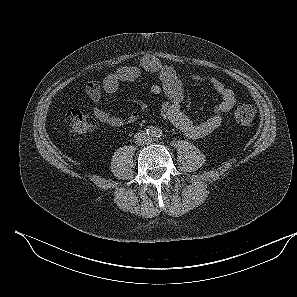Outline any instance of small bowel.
Returning <instances> with one entry per match:
<instances>
[{"mask_svg": "<svg viewBox=\"0 0 297 297\" xmlns=\"http://www.w3.org/2000/svg\"><path fill=\"white\" fill-rule=\"evenodd\" d=\"M143 73L155 74L160 79L161 84L153 85L150 91L155 96L164 93L167 97L166 101L161 102L162 119L172 123L191 139L203 138L220 127L236 103L234 91L221 81L212 77L192 75L193 82L208 85L220 97V101L215 105L210 117L200 122L193 121L182 110L184 87L176 70L171 66L163 65L155 57L144 56L140 65L119 68L106 76L101 85L97 82L88 83L86 92L95 104L93 115L100 123L111 127H122L138 121L139 114L137 112L113 115L104 110L101 107L102 91L107 94L115 93L123 83L134 82Z\"/></svg>", "mask_w": 297, "mask_h": 297, "instance_id": "obj_1", "label": "small bowel"}]
</instances>
